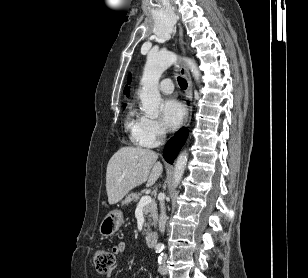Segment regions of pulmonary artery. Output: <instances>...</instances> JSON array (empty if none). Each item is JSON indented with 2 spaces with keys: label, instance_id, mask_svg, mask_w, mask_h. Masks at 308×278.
Returning <instances> with one entry per match:
<instances>
[{
  "label": "pulmonary artery",
  "instance_id": "obj_1",
  "mask_svg": "<svg viewBox=\"0 0 308 278\" xmlns=\"http://www.w3.org/2000/svg\"><path fill=\"white\" fill-rule=\"evenodd\" d=\"M159 90L164 94H171L173 91V82L170 79H164L159 85Z\"/></svg>",
  "mask_w": 308,
  "mask_h": 278
}]
</instances>
